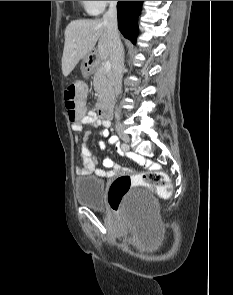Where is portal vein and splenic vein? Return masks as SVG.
<instances>
[{
	"label": "portal vein and splenic vein",
	"instance_id": "obj_1",
	"mask_svg": "<svg viewBox=\"0 0 233 295\" xmlns=\"http://www.w3.org/2000/svg\"><path fill=\"white\" fill-rule=\"evenodd\" d=\"M103 68L106 71H109L111 69V63L109 61H106L105 63H103Z\"/></svg>",
	"mask_w": 233,
	"mask_h": 295
}]
</instances>
